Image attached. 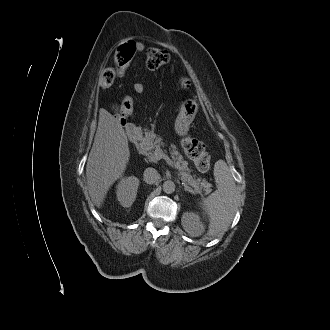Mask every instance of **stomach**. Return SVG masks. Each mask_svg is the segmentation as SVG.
<instances>
[{
  "label": "stomach",
  "instance_id": "0dacf381",
  "mask_svg": "<svg viewBox=\"0 0 330 330\" xmlns=\"http://www.w3.org/2000/svg\"><path fill=\"white\" fill-rule=\"evenodd\" d=\"M198 108V103L193 99H187L182 103L175 122V130L178 135L185 136L188 134L190 124L194 120Z\"/></svg>",
  "mask_w": 330,
  "mask_h": 330
}]
</instances>
